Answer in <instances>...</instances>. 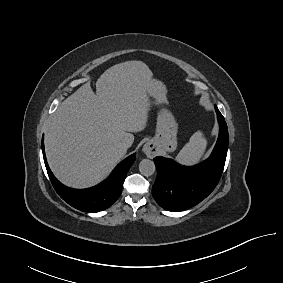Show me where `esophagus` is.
<instances>
[{
	"instance_id": "1",
	"label": "esophagus",
	"mask_w": 283,
	"mask_h": 283,
	"mask_svg": "<svg viewBox=\"0 0 283 283\" xmlns=\"http://www.w3.org/2000/svg\"><path fill=\"white\" fill-rule=\"evenodd\" d=\"M143 152L146 154L147 157L153 158L158 154V149L153 142H147L143 146Z\"/></svg>"
}]
</instances>
